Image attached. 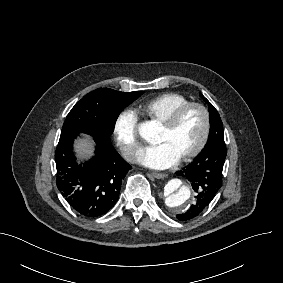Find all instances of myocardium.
<instances>
[{
	"mask_svg": "<svg viewBox=\"0 0 283 283\" xmlns=\"http://www.w3.org/2000/svg\"><path fill=\"white\" fill-rule=\"evenodd\" d=\"M192 108L198 109L202 114L203 125H204L203 135H202V138H201L200 142L198 143V145L194 149H192L191 151L185 153L182 157H180V159L178 161H188V160L198 156L207 146L209 136H210V128H211V120H210L209 112H208L207 108L204 105H202L201 103L189 102V103L182 105V106L178 107L177 109L169 112L168 115L166 116V118L161 121V125L166 130L171 131L176 126V124L178 123L180 118L189 109H192Z\"/></svg>",
	"mask_w": 283,
	"mask_h": 283,
	"instance_id": "myocardium-1",
	"label": "myocardium"
}]
</instances>
